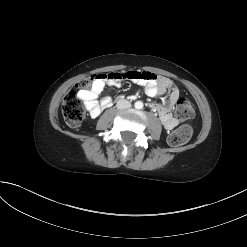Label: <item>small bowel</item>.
<instances>
[{"label":"small bowel","mask_w":247,"mask_h":247,"mask_svg":"<svg viewBox=\"0 0 247 247\" xmlns=\"http://www.w3.org/2000/svg\"><path fill=\"white\" fill-rule=\"evenodd\" d=\"M101 75L106 77L97 80L91 89L80 90L78 93L79 98L84 102L92 117L99 116L103 109L110 107L112 104V100L108 96L100 101L98 100L106 84L118 86L125 83L126 80H133L144 86L146 94L151 97L162 96L168 93L169 97L166 104H152L151 108L158 113L163 126L167 130H172L178 125V120L172 115L171 109L178 101L180 92L170 79L159 76L152 71L118 70L115 73L109 72L107 75Z\"/></svg>","instance_id":"1"}]
</instances>
